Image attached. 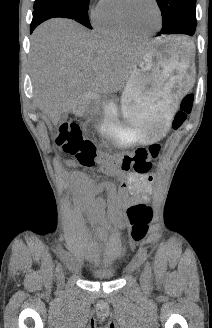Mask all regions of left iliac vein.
Instances as JSON below:
<instances>
[{
  "mask_svg": "<svg viewBox=\"0 0 212 328\" xmlns=\"http://www.w3.org/2000/svg\"><path fill=\"white\" fill-rule=\"evenodd\" d=\"M140 281H141L142 284H146V283H147V276H146L145 271H143V272L141 273Z\"/></svg>",
  "mask_w": 212,
  "mask_h": 328,
  "instance_id": "1",
  "label": "left iliac vein"
}]
</instances>
